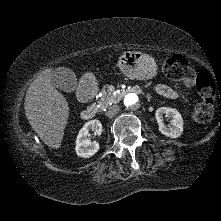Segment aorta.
<instances>
[{
  "mask_svg": "<svg viewBox=\"0 0 221 221\" xmlns=\"http://www.w3.org/2000/svg\"><path fill=\"white\" fill-rule=\"evenodd\" d=\"M124 104L128 108H135L139 104V98L136 93H128L124 97Z\"/></svg>",
  "mask_w": 221,
  "mask_h": 221,
  "instance_id": "aorta-1",
  "label": "aorta"
}]
</instances>
